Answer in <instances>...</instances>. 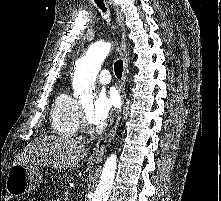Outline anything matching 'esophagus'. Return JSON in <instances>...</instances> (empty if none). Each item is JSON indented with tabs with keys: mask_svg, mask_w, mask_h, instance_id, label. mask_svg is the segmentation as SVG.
Returning <instances> with one entry per match:
<instances>
[{
	"mask_svg": "<svg viewBox=\"0 0 221 201\" xmlns=\"http://www.w3.org/2000/svg\"><path fill=\"white\" fill-rule=\"evenodd\" d=\"M109 1L111 4H113V8L116 13V20H117L118 25L121 30L120 55L123 60V75H122V80L120 83V94H121V98H122V103H123L122 109H123L124 101H125L126 75H127V71H128V51H127V46H126V32H125V27H124V17L122 15L121 11L114 3H112V0H109ZM122 109L120 110V113L118 114V117H117L114 127L106 135L102 136L97 141L94 151L90 157L92 161L98 162L103 159L107 147L110 145L111 141L115 137L116 130H117L119 122H120Z\"/></svg>",
	"mask_w": 221,
	"mask_h": 201,
	"instance_id": "34e87169",
	"label": "esophagus"
}]
</instances>
